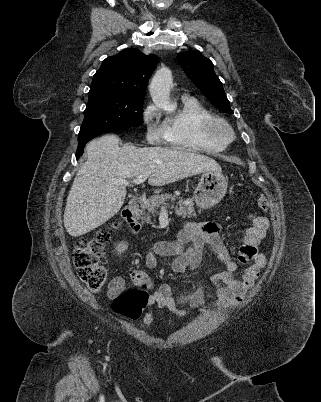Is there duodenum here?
Returning a JSON list of instances; mask_svg holds the SVG:
<instances>
[{
    "label": "duodenum",
    "mask_w": 321,
    "mask_h": 402,
    "mask_svg": "<svg viewBox=\"0 0 321 402\" xmlns=\"http://www.w3.org/2000/svg\"><path fill=\"white\" fill-rule=\"evenodd\" d=\"M139 210V202L137 199H132L126 209L122 213V217L128 227V229L133 234H139L141 231V224L137 220V212Z\"/></svg>",
    "instance_id": "obj_1"
}]
</instances>
